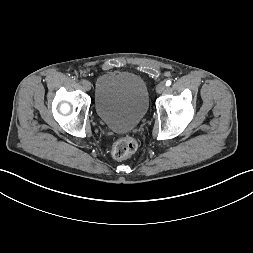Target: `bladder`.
I'll list each match as a JSON object with an SVG mask.
<instances>
[{
  "label": "bladder",
  "instance_id": "obj_1",
  "mask_svg": "<svg viewBox=\"0 0 253 253\" xmlns=\"http://www.w3.org/2000/svg\"><path fill=\"white\" fill-rule=\"evenodd\" d=\"M95 108L99 119L109 128L118 132L131 131L147 114V85L135 73H105L96 82Z\"/></svg>",
  "mask_w": 253,
  "mask_h": 253
}]
</instances>
